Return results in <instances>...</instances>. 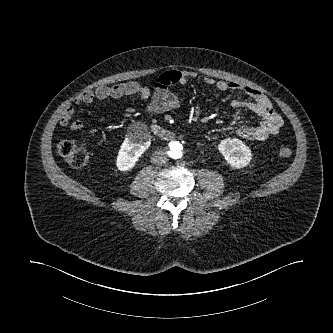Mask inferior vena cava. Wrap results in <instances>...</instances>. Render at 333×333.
I'll return each mask as SVG.
<instances>
[{
    "label": "inferior vena cava",
    "mask_w": 333,
    "mask_h": 333,
    "mask_svg": "<svg viewBox=\"0 0 333 333\" xmlns=\"http://www.w3.org/2000/svg\"><path fill=\"white\" fill-rule=\"evenodd\" d=\"M168 160H169L168 155L164 151H157L151 157L152 163L156 165L166 164Z\"/></svg>",
    "instance_id": "1"
}]
</instances>
